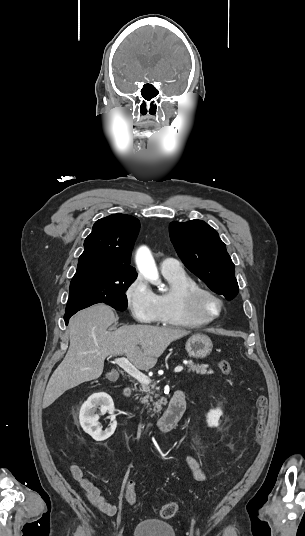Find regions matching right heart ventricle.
<instances>
[{
	"instance_id": "1",
	"label": "right heart ventricle",
	"mask_w": 305,
	"mask_h": 536,
	"mask_svg": "<svg viewBox=\"0 0 305 536\" xmlns=\"http://www.w3.org/2000/svg\"><path fill=\"white\" fill-rule=\"evenodd\" d=\"M170 284L169 291L157 295V322L165 327H192L195 322L186 317L181 309L179 297L181 293L200 286L196 279L184 270L162 272Z\"/></svg>"
}]
</instances>
